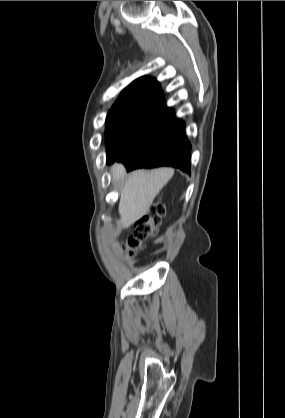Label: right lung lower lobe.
<instances>
[{
    "label": "right lung lower lobe",
    "mask_w": 285,
    "mask_h": 418,
    "mask_svg": "<svg viewBox=\"0 0 285 418\" xmlns=\"http://www.w3.org/2000/svg\"><path fill=\"white\" fill-rule=\"evenodd\" d=\"M185 123L173 115L137 145L107 163L123 162L127 171L136 168L172 166L190 172L191 144L185 134Z\"/></svg>",
    "instance_id": "obj_1"
}]
</instances>
